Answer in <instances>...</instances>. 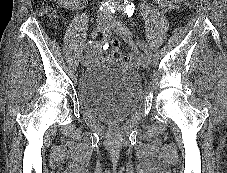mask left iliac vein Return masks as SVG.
Segmentation results:
<instances>
[{"label": "left iliac vein", "instance_id": "4c4485c4", "mask_svg": "<svg viewBox=\"0 0 227 173\" xmlns=\"http://www.w3.org/2000/svg\"><path fill=\"white\" fill-rule=\"evenodd\" d=\"M109 27L114 28L115 31L128 43L133 44V35L132 32L125 27L122 21L118 20L114 16H109ZM151 58H149L146 54L141 59V65L144 68H148L150 64Z\"/></svg>", "mask_w": 227, "mask_h": 173}]
</instances>
